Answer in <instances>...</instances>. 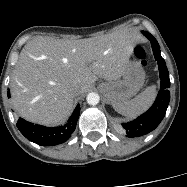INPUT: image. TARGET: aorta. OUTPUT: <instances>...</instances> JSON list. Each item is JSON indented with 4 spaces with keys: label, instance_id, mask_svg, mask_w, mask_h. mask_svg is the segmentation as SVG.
I'll list each match as a JSON object with an SVG mask.
<instances>
[{
    "label": "aorta",
    "instance_id": "obj_1",
    "mask_svg": "<svg viewBox=\"0 0 187 187\" xmlns=\"http://www.w3.org/2000/svg\"><path fill=\"white\" fill-rule=\"evenodd\" d=\"M86 100L89 105H97L100 101V96L97 93L91 92L87 95Z\"/></svg>",
    "mask_w": 187,
    "mask_h": 187
}]
</instances>
